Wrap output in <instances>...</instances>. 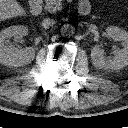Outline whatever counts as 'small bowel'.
<instances>
[{
    "label": "small bowel",
    "instance_id": "obj_1",
    "mask_svg": "<svg viewBox=\"0 0 128 128\" xmlns=\"http://www.w3.org/2000/svg\"><path fill=\"white\" fill-rule=\"evenodd\" d=\"M80 3H87V4H89V5H90L89 0H81V2H80Z\"/></svg>",
    "mask_w": 128,
    "mask_h": 128
}]
</instances>
